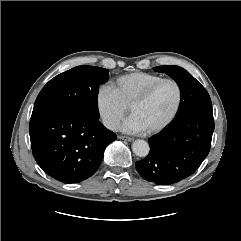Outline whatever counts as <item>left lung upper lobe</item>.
Here are the masks:
<instances>
[{
    "label": "left lung upper lobe",
    "mask_w": 241,
    "mask_h": 241,
    "mask_svg": "<svg viewBox=\"0 0 241 241\" xmlns=\"http://www.w3.org/2000/svg\"><path fill=\"white\" fill-rule=\"evenodd\" d=\"M154 71L164 72L173 78L181 91V102L174 121L194 112L212 109L210 96L206 89L185 69L179 66H158Z\"/></svg>",
    "instance_id": "5c2ea615"
}]
</instances>
